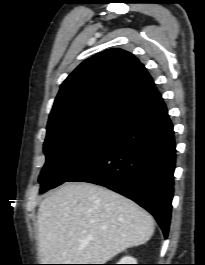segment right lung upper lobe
I'll return each instance as SVG.
<instances>
[{
	"mask_svg": "<svg viewBox=\"0 0 205 265\" xmlns=\"http://www.w3.org/2000/svg\"><path fill=\"white\" fill-rule=\"evenodd\" d=\"M160 98L136 57L122 49H108L82 62L62 83L47 133L98 122L123 125Z\"/></svg>",
	"mask_w": 205,
	"mask_h": 265,
	"instance_id": "obj_1",
	"label": "right lung upper lobe"
}]
</instances>
